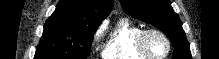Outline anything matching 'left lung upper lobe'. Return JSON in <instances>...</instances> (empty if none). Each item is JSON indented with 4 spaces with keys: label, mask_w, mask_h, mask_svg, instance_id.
Listing matches in <instances>:
<instances>
[{
    "label": "left lung upper lobe",
    "mask_w": 219,
    "mask_h": 59,
    "mask_svg": "<svg viewBox=\"0 0 219 59\" xmlns=\"http://www.w3.org/2000/svg\"><path fill=\"white\" fill-rule=\"evenodd\" d=\"M126 13L151 23L164 32L173 43V59H192L189 43L179 16L170 0H120Z\"/></svg>",
    "instance_id": "5c2ea615"
}]
</instances>
